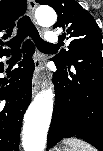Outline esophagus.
<instances>
[{"mask_svg":"<svg viewBox=\"0 0 103 151\" xmlns=\"http://www.w3.org/2000/svg\"><path fill=\"white\" fill-rule=\"evenodd\" d=\"M37 7L36 0H28V15L29 17L35 21L34 19V12ZM44 63V58L40 52H36L35 58H34V65H35V70L33 74V79H32V94L33 96L38 92L41 84V69L42 65Z\"/></svg>","mask_w":103,"mask_h":151,"instance_id":"obj_1","label":"esophagus"}]
</instances>
